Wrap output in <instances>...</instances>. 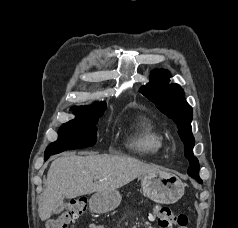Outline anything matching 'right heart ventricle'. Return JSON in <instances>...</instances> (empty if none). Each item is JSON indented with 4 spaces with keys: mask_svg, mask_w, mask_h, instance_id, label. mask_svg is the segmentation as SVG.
<instances>
[{
    "mask_svg": "<svg viewBox=\"0 0 238 228\" xmlns=\"http://www.w3.org/2000/svg\"><path fill=\"white\" fill-rule=\"evenodd\" d=\"M165 140L157 124L147 118H138L133 126L130 147L141 154H155L164 147Z\"/></svg>",
    "mask_w": 238,
    "mask_h": 228,
    "instance_id": "obj_1",
    "label": "right heart ventricle"
}]
</instances>
